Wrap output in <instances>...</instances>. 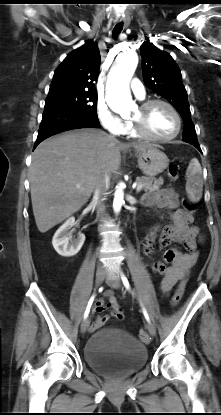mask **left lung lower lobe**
<instances>
[{
  "label": "left lung lower lobe",
  "instance_id": "1",
  "mask_svg": "<svg viewBox=\"0 0 221 415\" xmlns=\"http://www.w3.org/2000/svg\"><path fill=\"white\" fill-rule=\"evenodd\" d=\"M183 141L192 144L193 146H195L199 151H201L200 146L198 144L197 141V137L196 136H185L183 137Z\"/></svg>",
  "mask_w": 221,
  "mask_h": 415
}]
</instances>
